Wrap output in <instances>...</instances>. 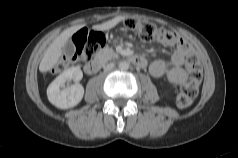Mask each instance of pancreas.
<instances>
[{
    "label": "pancreas",
    "instance_id": "pancreas-1",
    "mask_svg": "<svg viewBox=\"0 0 238 158\" xmlns=\"http://www.w3.org/2000/svg\"><path fill=\"white\" fill-rule=\"evenodd\" d=\"M96 56L102 60H110V59L116 57L117 54L114 52V50L112 48L105 47V48L99 50L97 52Z\"/></svg>",
    "mask_w": 238,
    "mask_h": 158
}]
</instances>
